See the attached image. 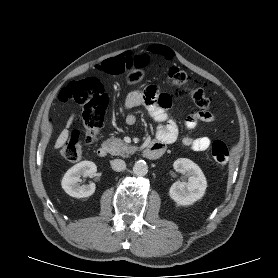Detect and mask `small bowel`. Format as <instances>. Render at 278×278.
Here are the masks:
<instances>
[{
  "label": "small bowel",
  "mask_w": 278,
  "mask_h": 278,
  "mask_svg": "<svg viewBox=\"0 0 278 278\" xmlns=\"http://www.w3.org/2000/svg\"><path fill=\"white\" fill-rule=\"evenodd\" d=\"M172 99L169 94L161 93L155 85L148 86L145 91H133L125 99L124 107L129 110L137 106L147 108L150 116L159 126L156 132V141L164 146L175 142L179 135L177 122L171 118L165 108L171 105ZM215 116L208 110H199L188 116L185 121V127L188 131L193 130L199 122H213ZM125 122L127 125H133L136 117L132 114L127 115ZM184 145L194 151H207L211 146V139L206 136L193 137L186 135L183 137Z\"/></svg>",
  "instance_id": "c3829d8e"
}]
</instances>
